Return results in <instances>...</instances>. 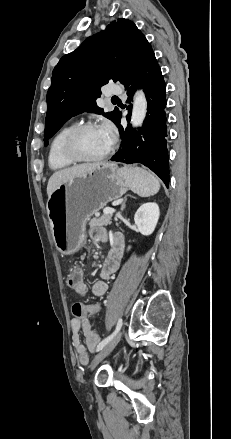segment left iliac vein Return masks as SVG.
I'll list each match as a JSON object with an SVG mask.
<instances>
[{
    "mask_svg": "<svg viewBox=\"0 0 231 439\" xmlns=\"http://www.w3.org/2000/svg\"><path fill=\"white\" fill-rule=\"evenodd\" d=\"M122 334V331L118 332L114 338L94 357L91 364V369H94L96 365L114 349V347L120 341Z\"/></svg>",
    "mask_w": 231,
    "mask_h": 439,
    "instance_id": "1",
    "label": "left iliac vein"
}]
</instances>
